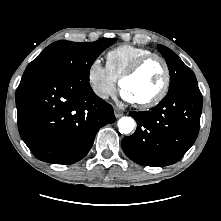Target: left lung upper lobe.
<instances>
[{
    "label": "left lung upper lobe",
    "mask_w": 221,
    "mask_h": 221,
    "mask_svg": "<svg viewBox=\"0 0 221 221\" xmlns=\"http://www.w3.org/2000/svg\"><path fill=\"white\" fill-rule=\"evenodd\" d=\"M158 49L165 58L170 72L169 91H174L182 86L198 84L193 71L169 48L158 45Z\"/></svg>",
    "instance_id": "1"
}]
</instances>
